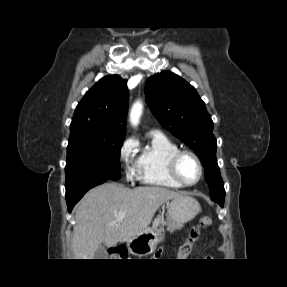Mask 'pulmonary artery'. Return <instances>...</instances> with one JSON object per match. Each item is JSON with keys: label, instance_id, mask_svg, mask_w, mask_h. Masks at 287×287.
Listing matches in <instances>:
<instances>
[{"label": "pulmonary artery", "instance_id": "obj_1", "mask_svg": "<svg viewBox=\"0 0 287 287\" xmlns=\"http://www.w3.org/2000/svg\"><path fill=\"white\" fill-rule=\"evenodd\" d=\"M151 133L162 134V132L159 129H152Z\"/></svg>", "mask_w": 287, "mask_h": 287}]
</instances>
